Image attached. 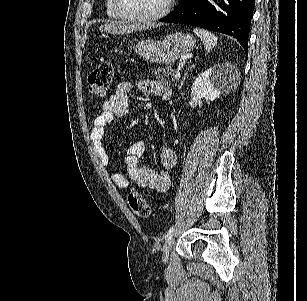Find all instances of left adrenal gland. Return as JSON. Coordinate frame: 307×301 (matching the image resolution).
Masks as SVG:
<instances>
[{
  "mask_svg": "<svg viewBox=\"0 0 307 301\" xmlns=\"http://www.w3.org/2000/svg\"><path fill=\"white\" fill-rule=\"evenodd\" d=\"M193 66H195V64H192V66H190V68H188L187 72H185L184 76H182V80L179 84V88H182V84H183V82H185L186 76H187L188 72H190V70H192Z\"/></svg>",
  "mask_w": 307,
  "mask_h": 301,
  "instance_id": "left-adrenal-gland-1",
  "label": "left adrenal gland"
}]
</instances>
